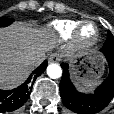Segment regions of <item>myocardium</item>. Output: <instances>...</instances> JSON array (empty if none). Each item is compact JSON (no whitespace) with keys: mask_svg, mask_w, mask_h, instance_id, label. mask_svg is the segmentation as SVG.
Wrapping results in <instances>:
<instances>
[{"mask_svg":"<svg viewBox=\"0 0 114 114\" xmlns=\"http://www.w3.org/2000/svg\"><path fill=\"white\" fill-rule=\"evenodd\" d=\"M86 26H91L93 28V34L90 37H85L82 34L83 29ZM99 37V32L97 27L91 22H84L80 24L73 34L74 41L81 47H88L96 43Z\"/></svg>","mask_w":114,"mask_h":114,"instance_id":"f54148a6","label":"myocardium"}]
</instances>
